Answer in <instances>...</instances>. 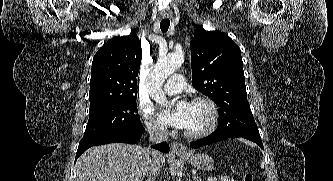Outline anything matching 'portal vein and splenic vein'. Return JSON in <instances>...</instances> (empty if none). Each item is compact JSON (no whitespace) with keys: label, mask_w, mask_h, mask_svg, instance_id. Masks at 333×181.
<instances>
[{"label":"portal vein and splenic vein","mask_w":333,"mask_h":181,"mask_svg":"<svg viewBox=\"0 0 333 181\" xmlns=\"http://www.w3.org/2000/svg\"><path fill=\"white\" fill-rule=\"evenodd\" d=\"M206 181H217L215 177H208Z\"/></svg>","instance_id":"portal-vein-and-splenic-vein-1"}]
</instances>
